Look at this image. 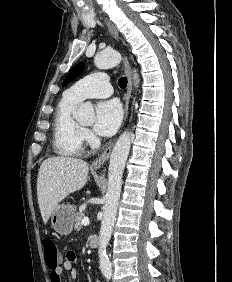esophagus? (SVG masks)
<instances>
[{
	"label": "esophagus",
	"instance_id": "esophagus-1",
	"mask_svg": "<svg viewBox=\"0 0 232 282\" xmlns=\"http://www.w3.org/2000/svg\"><path fill=\"white\" fill-rule=\"evenodd\" d=\"M104 21H105L106 25L108 26L109 30L113 33V35L118 40H120V35H119V32H118L116 26L114 24H112L107 18H105ZM123 61H124L125 73L128 77L127 92H126V95H125V106H124V121H125L127 116H128L129 102H130L131 92H132V75H131L130 63L128 61L127 56L124 55ZM113 145H114V141L111 142L108 145V147L103 151V153L93 161L92 166L94 168H100L108 160V158L111 154Z\"/></svg>",
	"mask_w": 232,
	"mask_h": 282
}]
</instances>
